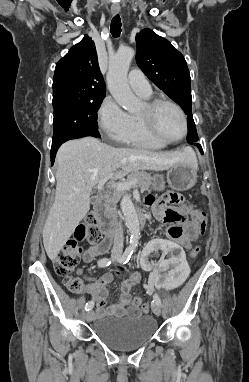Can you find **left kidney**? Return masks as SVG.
<instances>
[{
    "mask_svg": "<svg viewBox=\"0 0 249 382\" xmlns=\"http://www.w3.org/2000/svg\"><path fill=\"white\" fill-rule=\"evenodd\" d=\"M142 252L137 266L142 267L143 273H151L149 281L153 287H161L163 293H169L170 287H183L190 276V267L182 245H176L175 240H164V237H152L148 245H142ZM154 257H166V260H153Z\"/></svg>",
    "mask_w": 249,
    "mask_h": 382,
    "instance_id": "5707ae66",
    "label": "left kidney"
}]
</instances>
